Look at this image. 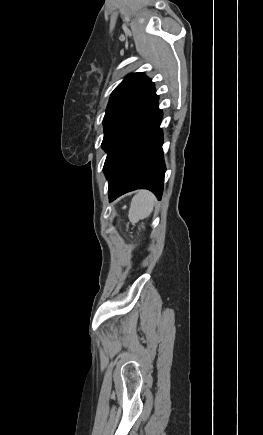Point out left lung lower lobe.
<instances>
[{
    "label": "left lung lower lobe",
    "mask_w": 263,
    "mask_h": 435,
    "mask_svg": "<svg viewBox=\"0 0 263 435\" xmlns=\"http://www.w3.org/2000/svg\"><path fill=\"white\" fill-rule=\"evenodd\" d=\"M162 111L158 98L132 121L108 151L104 173L109 201L135 190L149 189L161 199L165 174L163 134L159 128Z\"/></svg>",
    "instance_id": "0a47b994"
}]
</instances>
